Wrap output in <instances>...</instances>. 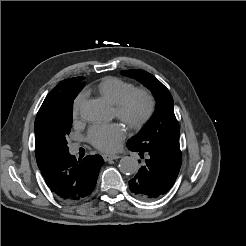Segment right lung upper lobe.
<instances>
[{
  "label": "right lung upper lobe",
  "mask_w": 246,
  "mask_h": 246,
  "mask_svg": "<svg viewBox=\"0 0 246 246\" xmlns=\"http://www.w3.org/2000/svg\"><path fill=\"white\" fill-rule=\"evenodd\" d=\"M84 77L65 79L46 96L35 119V156L39 170L44 172L59 156L61 150L52 138V115L57 101L67 92L83 88Z\"/></svg>",
  "instance_id": "right-lung-upper-lobe-1"
}]
</instances>
